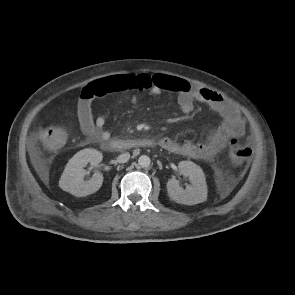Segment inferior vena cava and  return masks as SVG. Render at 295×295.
Returning a JSON list of instances; mask_svg holds the SVG:
<instances>
[{
	"instance_id": "obj_1",
	"label": "inferior vena cava",
	"mask_w": 295,
	"mask_h": 295,
	"mask_svg": "<svg viewBox=\"0 0 295 295\" xmlns=\"http://www.w3.org/2000/svg\"><path fill=\"white\" fill-rule=\"evenodd\" d=\"M129 158H130L129 153H123V154L118 156L117 162L118 163H125V162H127L129 160Z\"/></svg>"
}]
</instances>
